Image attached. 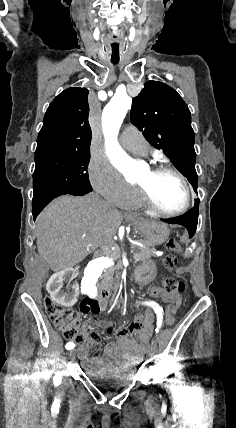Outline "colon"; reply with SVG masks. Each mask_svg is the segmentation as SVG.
Instances as JSON below:
<instances>
[{
  "label": "colon",
  "mask_w": 236,
  "mask_h": 428,
  "mask_svg": "<svg viewBox=\"0 0 236 428\" xmlns=\"http://www.w3.org/2000/svg\"><path fill=\"white\" fill-rule=\"evenodd\" d=\"M167 246L170 250H173V251L180 250V244L174 238H171L168 241ZM177 264H178V259L172 253L167 254L163 258V265L169 271L174 270ZM163 286L168 293L174 296H179L185 290L184 282L175 277L165 278L163 280ZM44 305L50 320L53 322L55 327L62 332L63 336L67 340L75 342L81 347L87 346L92 343L93 338L89 337L85 333L84 325L79 319L77 312H75L70 308H65L58 305L50 296H46L44 298ZM176 309H177L176 303H173L169 306L168 312L166 315V322L168 324L173 323L174 313ZM80 311L83 314H96V313H99L100 311V305L98 304V302L90 298H86L80 304ZM131 324L135 327L142 326L141 315L134 317Z\"/></svg>",
  "instance_id": "5ec220e1"
}]
</instances>
